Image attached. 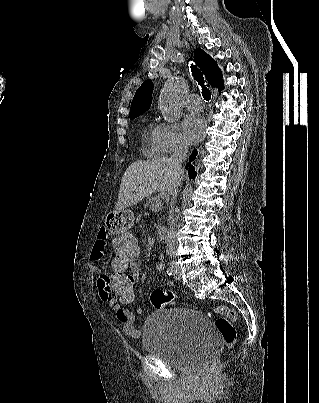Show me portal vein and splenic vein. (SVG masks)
Masks as SVG:
<instances>
[{
	"label": "portal vein and splenic vein",
	"instance_id": "portal-vein-and-splenic-vein-1",
	"mask_svg": "<svg viewBox=\"0 0 319 403\" xmlns=\"http://www.w3.org/2000/svg\"><path fill=\"white\" fill-rule=\"evenodd\" d=\"M161 206V202H158L155 206V209L159 208Z\"/></svg>",
	"mask_w": 319,
	"mask_h": 403
}]
</instances>
